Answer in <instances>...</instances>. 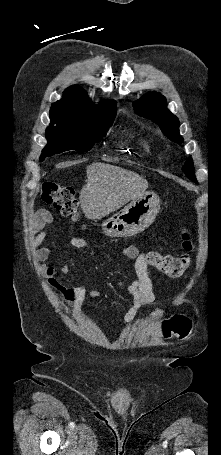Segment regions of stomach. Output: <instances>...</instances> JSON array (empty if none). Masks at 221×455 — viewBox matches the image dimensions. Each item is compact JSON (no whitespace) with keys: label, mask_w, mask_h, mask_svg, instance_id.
<instances>
[{"label":"stomach","mask_w":221,"mask_h":455,"mask_svg":"<svg viewBox=\"0 0 221 455\" xmlns=\"http://www.w3.org/2000/svg\"><path fill=\"white\" fill-rule=\"evenodd\" d=\"M160 198L153 191L143 192L118 213L105 220L102 233L108 237H131L148 228L160 210Z\"/></svg>","instance_id":"1"}]
</instances>
